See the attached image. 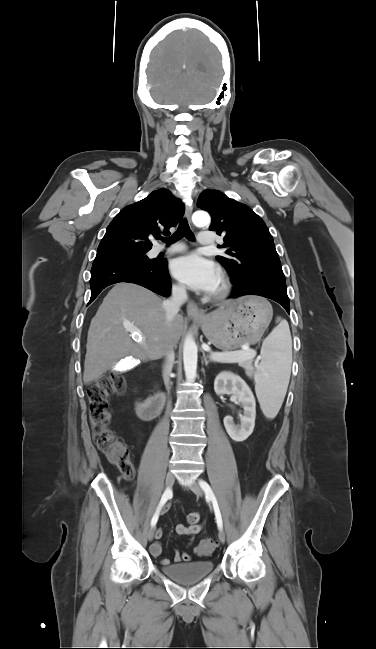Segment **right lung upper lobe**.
I'll return each mask as SVG.
<instances>
[{"instance_id":"1","label":"right lung upper lobe","mask_w":376,"mask_h":649,"mask_svg":"<svg viewBox=\"0 0 376 649\" xmlns=\"http://www.w3.org/2000/svg\"><path fill=\"white\" fill-rule=\"evenodd\" d=\"M184 211L182 201L169 190L153 191L115 216L98 246L97 255L149 251L152 247L149 237L169 234V228L178 224Z\"/></svg>"}]
</instances>
